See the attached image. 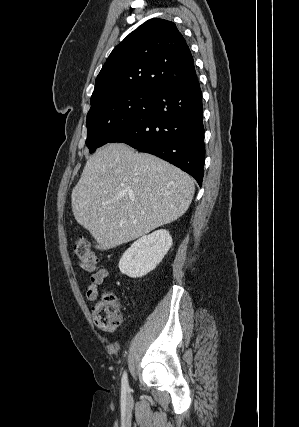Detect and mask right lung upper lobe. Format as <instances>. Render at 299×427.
<instances>
[{"mask_svg": "<svg viewBox=\"0 0 299 427\" xmlns=\"http://www.w3.org/2000/svg\"><path fill=\"white\" fill-rule=\"evenodd\" d=\"M194 78V61L184 37L173 22L154 18L111 52L97 76L91 104L122 92L155 95Z\"/></svg>", "mask_w": 299, "mask_h": 427, "instance_id": "1", "label": "right lung upper lobe"}]
</instances>
